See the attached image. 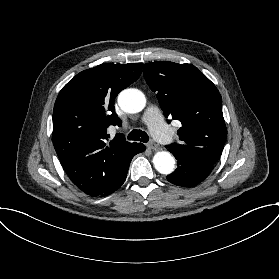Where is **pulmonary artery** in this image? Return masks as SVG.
Masks as SVG:
<instances>
[{
    "mask_svg": "<svg viewBox=\"0 0 279 279\" xmlns=\"http://www.w3.org/2000/svg\"><path fill=\"white\" fill-rule=\"evenodd\" d=\"M166 118V113L161 109H157L156 106L149 107L144 117V120L153 129V138L162 146L171 142L172 131H174L173 128L170 129L166 126Z\"/></svg>",
    "mask_w": 279,
    "mask_h": 279,
    "instance_id": "obj_1",
    "label": "pulmonary artery"
}]
</instances>
